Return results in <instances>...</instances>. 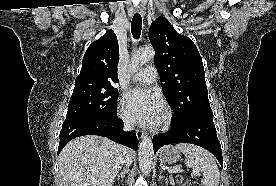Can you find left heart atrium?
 Wrapping results in <instances>:
<instances>
[{"label": "left heart atrium", "mask_w": 276, "mask_h": 186, "mask_svg": "<svg viewBox=\"0 0 276 186\" xmlns=\"http://www.w3.org/2000/svg\"><path fill=\"white\" fill-rule=\"evenodd\" d=\"M126 112L142 125H153L162 112L159 96L152 91L134 89L126 94Z\"/></svg>", "instance_id": "1"}]
</instances>
